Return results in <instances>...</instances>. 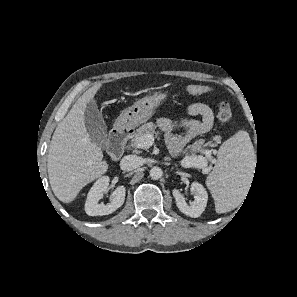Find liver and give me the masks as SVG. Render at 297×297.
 <instances>
[{
    "label": "liver",
    "mask_w": 297,
    "mask_h": 297,
    "mask_svg": "<svg viewBox=\"0 0 297 297\" xmlns=\"http://www.w3.org/2000/svg\"><path fill=\"white\" fill-rule=\"evenodd\" d=\"M101 84L89 88L57 125L47 158L48 175L55 196L63 203L72 202L81 189L106 173L101 148L91 140L84 123L87 103Z\"/></svg>",
    "instance_id": "obj_1"
}]
</instances>
